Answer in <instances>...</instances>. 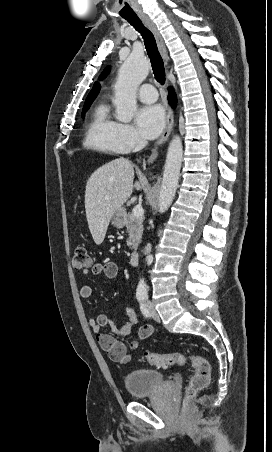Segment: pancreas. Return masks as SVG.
Wrapping results in <instances>:
<instances>
[{"mask_svg":"<svg viewBox=\"0 0 272 452\" xmlns=\"http://www.w3.org/2000/svg\"><path fill=\"white\" fill-rule=\"evenodd\" d=\"M125 226L129 235L127 245L136 250L142 238L144 217H136L133 213L126 214Z\"/></svg>","mask_w":272,"mask_h":452,"instance_id":"cf45deb5","label":"pancreas"}]
</instances>
